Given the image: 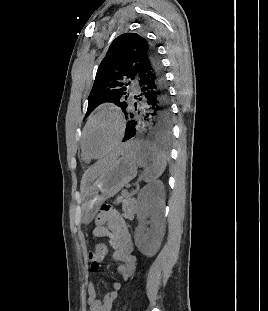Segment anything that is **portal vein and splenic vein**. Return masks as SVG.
<instances>
[{
    "label": "portal vein and splenic vein",
    "instance_id": "1",
    "mask_svg": "<svg viewBox=\"0 0 268 311\" xmlns=\"http://www.w3.org/2000/svg\"><path fill=\"white\" fill-rule=\"evenodd\" d=\"M128 193L127 192H123V195H127Z\"/></svg>",
    "mask_w": 268,
    "mask_h": 311
}]
</instances>
